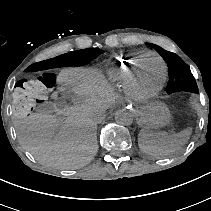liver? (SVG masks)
Here are the masks:
<instances>
[{"label": "liver", "instance_id": "obj_1", "mask_svg": "<svg viewBox=\"0 0 211 211\" xmlns=\"http://www.w3.org/2000/svg\"><path fill=\"white\" fill-rule=\"evenodd\" d=\"M57 82L70 88L76 103L55 114L43 111L15 122L20 143L42 163L59 169H76L88 164L98 149V117L114 100L111 89L83 69L59 74ZM65 118L60 120L59 117Z\"/></svg>", "mask_w": 211, "mask_h": 211}]
</instances>
